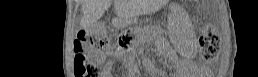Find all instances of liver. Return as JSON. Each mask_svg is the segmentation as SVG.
Instances as JSON below:
<instances>
[{"label": "liver", "instance_id": "liver-1", "mask_svg": "<svg viewBox=\"0 0 258 77\" xmlns=\"http://www.w3.org/2000/svg\"><path fill=\"white\" fill-rule=\"evenodd\" d=\"M112 0H83L82 27H88L96 22L111 6ZM115 13L118 17L129 18L132 15L130 5L125 0H114Z\"/></svg>", "mask_w": 258, "mask_h": 77}]
</instances>
